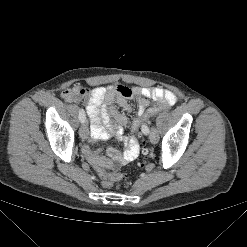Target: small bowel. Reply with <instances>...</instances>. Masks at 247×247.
Listing matches in <instances>:
<instances>
[{"label":"small bowel","mask_w":247,"mask_h":247,"mask_svg":"<svg viewBox=\"0 0 247 247\" xmlns=\"http://www.w3.org/2000/svg\"><path fill=\"white\" fill-rule=\"evenodd\" d=\"M117 88L97 86L90 89L74 85L61 93L62 98L68 103H77L82 100L87 102L86 113L91 121V143L116 136L125 146L123 153L110 148L108 157L102 156L99 151L90 146H85L83 153L96 170L99 168L116 170L134 160L139 154L138 140L124 132L127 118L124 113L117 110L115 104L120 106L124 112L129 113L132 111L129 101L133 100L137 104V115L141 116L149 106L150 100L166 103L169 106L177 102V97L173 92L159 87H134L130 89L129 96L121 95Z\"/></svg>","instance_id":"1"}]
</instances>
